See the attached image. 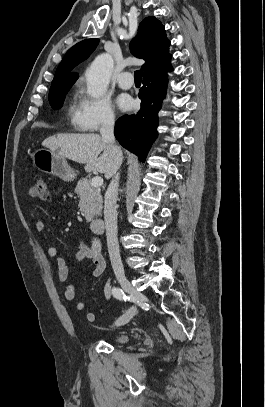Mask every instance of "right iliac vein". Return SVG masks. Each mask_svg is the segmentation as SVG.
<instances>
[{
    "label": "right iliac vein",
    "instance_id": "right-iliac-vein-1",
    "mask_svg": "<svg viewBox=\"0 0 265 407\" xmlns=\"http://www.w3.org/2000/svg\"><path fill=\"white\" fill-rule=\"evenodd\" d=\"M120 285L122 286V288L128 293L130 294L134 300L136 302H140L143 300L144 296L142 293H140L139 291L136 290V288L128 281L127 278L125 277H121L118 279ZM136 306L131 308L125 315H123L117 322V325H124L126 323H128L133 316L136 314Z\"/></svg>",
    "mask_w": 265,
    "mask_h": 407
}]
</instances>
